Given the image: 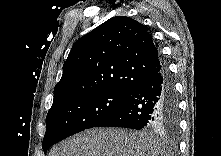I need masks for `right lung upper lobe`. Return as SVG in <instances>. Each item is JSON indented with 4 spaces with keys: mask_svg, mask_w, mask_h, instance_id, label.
<instances>
[{
    "mask_svg": "<svg viewBox=\"0 0 221 156\" xmlns=\"http://www.w3.org/2000/svg\"><path fill=\"white\" fill-rule=\"evenodd\" d=\"M163 68L146 27L130 17H112L74 43L54 88L53 105L101 91L130 94Z\"/></svg>",
    "mask_w": 221,
    "mask_h": 156,
    "instance_id": "obj_1",
    "label": "right lung upper lobe"
}]
</instances>
